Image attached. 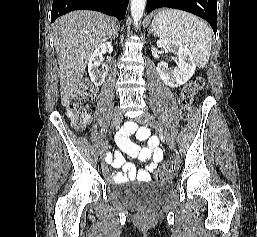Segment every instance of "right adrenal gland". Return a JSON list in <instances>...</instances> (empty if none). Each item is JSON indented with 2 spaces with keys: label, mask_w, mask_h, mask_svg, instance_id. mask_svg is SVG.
I'll list each match as a JSON object with an SVG mask.
<instances>
[{
  "label": "right adrenal gland",
  "mask_w": 257,
  "mask_h": 237,
  "mask_svg": "<svg viewBox=\"0 0 257 237\" xmlns=\"http://www.w3.org/2000/svg\"><path fill=\"white\" fill-rule=\"evenodd\" d=\"M115 36H118V30H117V29H116L115 33L113 34V38H114Z\"/></svg>",
  "instance_id": "right-adrenal-gland-1"
}]
</instances>
